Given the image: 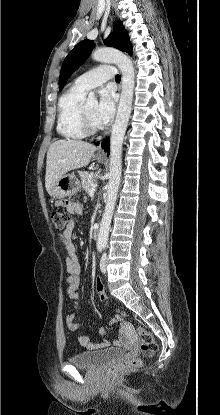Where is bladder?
Listing matches in <instances>:
<instances>
[{
	"label": "bladder",
	"mask_w": 220,
	"mask_h": 415,
	"mask_svg": "<svg viewBox=\"0 0 220 415\" xmlns=\"http://www.w3.org/2000/svg\"><path fill=\"white\" fill-rule=\"evenodd\" d=\"M123 348H111L101 351H81L70 357V363L77 368H93L122 358Z\"/></svg>",
	"instance_id": "1"
}]
</instances>
